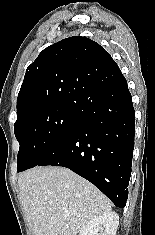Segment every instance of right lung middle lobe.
<instances>
[{
  "label": "right lung middle lobe",
  "instance_id": "1",
  "mask_svg": "<svg viewBox=\"0 0 155 235\" xmlns=\"http://www.w3.org/2000/svg\"><path fill=\"white\" fill-rule=\"evenodd\" d=\"M81 125L78 109L62 105H44L18 116L14 124L20 144L17 172L37 166Z\"/></svg>",
  "mask_w": 155,
  "mask_h": 235
}]
</instances>
